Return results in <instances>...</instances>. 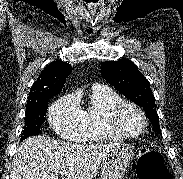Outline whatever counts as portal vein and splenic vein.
<instances>
[{
    "instance_id": "obj_1",
    "label": "portal vein and splenic vein",
    "mask_w": 183,
    "mask_h": 179,
    "mask_svg": "<svg viewBox=\"0 0 183 179\" xmlns=\"http://www.w3.org/2000/svg\"><path fill=\"white\" fill-rule=\"evenodd\" d=\"M59 174L63 176V175H66L67 172L65 170H62V171L59 172Z\"/></svg>"
}]
</instances>
